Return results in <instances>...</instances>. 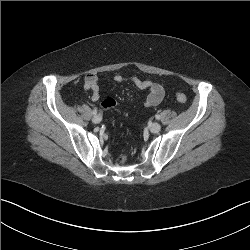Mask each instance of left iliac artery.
<instances>
[{
  "label": "left iliac artery",
  "mask_w": 250,
  "mask_h": 250,
  "mask_svg": "<svg viewBox=\"0 0 250 250\" xmlns=\"http://www.w3.org/2000/svg\"><path fill=\"white\" fill-rule=\"evenodd\" d=\"M155 117H156V119H160V115H156Z\"/></svg>",
  "instance_id": "44dca946"
}]
</instances>
